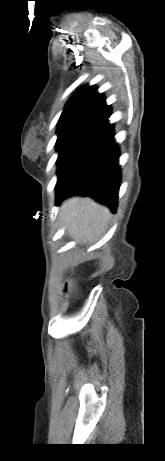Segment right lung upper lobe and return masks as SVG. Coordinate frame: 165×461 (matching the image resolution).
I'll use <instances>...</instances> for the list:
<instances>
[{
    "instance_id": "right-lung-upper-lobe-1",
    "label": "right lung upper lobe",
    "mask_w": 165,
    "mask_h": 461,
    "mask_svg": "<svg viewBox=\"0 0 165 461\" xmlns=\"http://www.w3.org/2000/svg\"><path fill=\"white\" fill-rule=\"evenodd\" d=\"M110 114L103 95L97 93L94 86H84L68 100L60 119L88 115L108 121Z\"/></svg>"
}]
</instances>
